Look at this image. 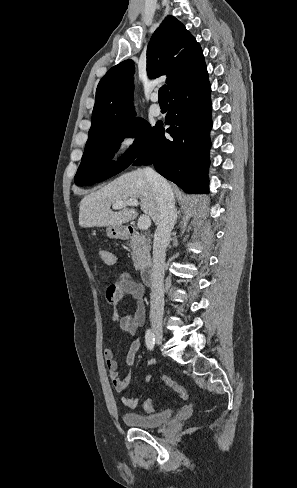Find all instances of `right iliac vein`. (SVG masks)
Wrapping results in <instances>:
<instances>
[{"mask_svg": "<svg viewBox=\"0 0 297 488\" xmlns=\"http://www.w3.org/2000/svg\"><path fill=\"white\" fill-rule=\"evenodd\" d=\"M152 330L154 333V337L158 344L162 343L163 340V329H162V322L157 319L152 320Z\"/></svg>", "mask_w": 297, "mask_h": 488, "instance_id": "obj_1", "label": "right iliac vein"}]
</instances>
